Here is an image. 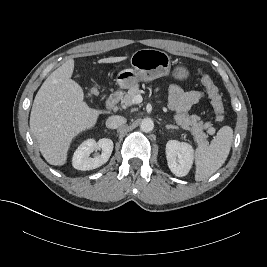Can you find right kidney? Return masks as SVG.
Here are the masks:
<instances>
[{
  "mask_svg": "<svg viewBox=\"0 0 267 267\" xmlns=\"http://www.w3.org/2000/svg\"><path fill=\"white\" fill-rule=\"evenodd\" d=\"M95 150H102L101 155L94 158L90 154ZM113 151V141L109 138H102L98 142L94 139L84 141L74 152L72 165L77 170H92L105 164Z\"/></svg>",
  "mask_w": 267,
  "mask_h": 267,
  "instance_id": "1",
  "label": "right kidney"
}]
</instances>
